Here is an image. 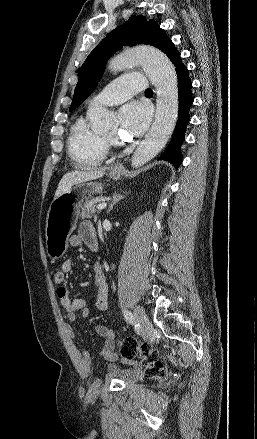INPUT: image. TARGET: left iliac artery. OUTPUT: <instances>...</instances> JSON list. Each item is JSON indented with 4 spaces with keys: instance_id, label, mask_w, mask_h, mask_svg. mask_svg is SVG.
<instances>
[{
    "instance_id": "44dca946",
    "label": "left iliac artery",
    "mask_w": 257,
    "mask_h": 439,
    "mask_svg": "<svg viewBox=\"0 0 257 439\" xmlns=\"http://www.w3.org/2000/svg\"><path fill=\"white\" fill-rule=\"evenodd\" d=\"M123 313H124V317H125L126 321H128L129 323H133L134 318H133L132 313L128 310H124Z\"/></svg>"
}]
</instances>
